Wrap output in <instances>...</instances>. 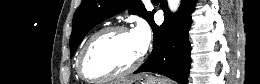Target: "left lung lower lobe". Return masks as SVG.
Listing matches in <instances>:
<instances>
[{
    "label": "left lung lower lobe",
    "instance_id": "obj_1",
    "mask_svg": "<svg viewBox=\"0 0 260 84\" xmlns=\"http://www.w3.org/2000/svg\"><path fill=\"white\" fill-rule=\"evenodd\" d=\"M195 0H182L178 11L172 14L166 0H161L164 23L159 27L151 22L154 48L145 63L134 73L154 72L165 75L181 84L188 83L190 70L189 28Z\"/></svg>",
    "mask_w": 260,
    "mask_h": 84
}]
</instances>
